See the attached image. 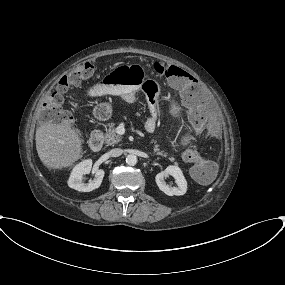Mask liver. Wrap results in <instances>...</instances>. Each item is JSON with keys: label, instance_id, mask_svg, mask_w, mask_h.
<instances>
[{"label": "liver", "instance_id": "6515ba94", "mask_svg": "<svg viewBox=\"0 0 285 285\" xmlns=\"http://www.w3.org/2000/svg\"><path fill=\"white\" fill-rule=\"evenodd\" d=\"M35 140L38 156L49 169L72 166L83 155L79 130L68 121L41 125L36 130Z\"/></svg>", "mask_w": 285, "mask_h": 285}]
</instances>
